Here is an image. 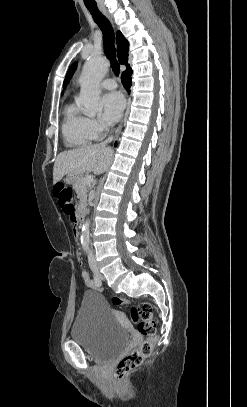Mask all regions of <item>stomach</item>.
<instances>
[{"label":"stomach","instance_id":"0dacf381","mask_svg":"<svg viewBox=\"0 0 247 407\" xmlns=\"http://www.w3.org/2000/svg\"><path fill=\"white\" fill-rule=\"evenodd\" d=\"M81 176L68 174L65 178V182L68 184H74Z\"/></svg>","mask_w":247,"mask_h":407}]
</instances>
